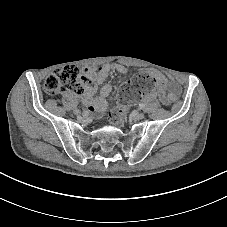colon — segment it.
Masks as SVG:
<instances>
[{"mask_svg":"<svg viewBox=\"0 0 227 227\" xmlns=\"http://www.w3.org/2000/svg\"><path fill=\"white\" fill-rule=\"evenodd\" d=\"M153 86L154 79L147 73L137 74L131 80L125 82L119 89V107L113 111V117L121 119L123 108L137 101L143 93ZM44 90L49 95H55L64 90L81 94L84 86L79 69L74 66H65L58 69L46 78Z\"/></svg>","mask_w":227,"mask_h":227,"instance_id":"5ec220e1","label":"colon"}]
</instances>
